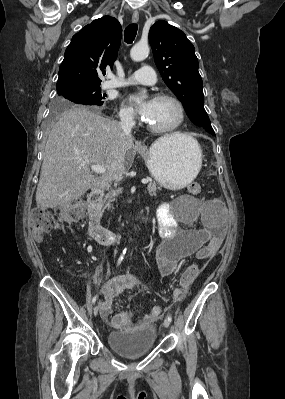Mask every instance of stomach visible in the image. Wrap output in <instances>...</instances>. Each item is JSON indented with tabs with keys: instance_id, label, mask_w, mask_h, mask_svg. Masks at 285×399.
<instances>
[{
	"instance_id": "stomach-1",
	"label": "stomach",
	"mask_w": 285,
	"mask_h": 399,
	"mask_svg": "<svg viewBox=\"0 0 285 399\" xmlns=\"http://www.w3.org/2000/svg\"><path fill=\"white\" fill-rule=\"evenodd\" d=\"M141 154L152 177L171 190L188 186L202 166V151L198 142L184 135L160 138Z\"/></svg>"
}]
</instances>
